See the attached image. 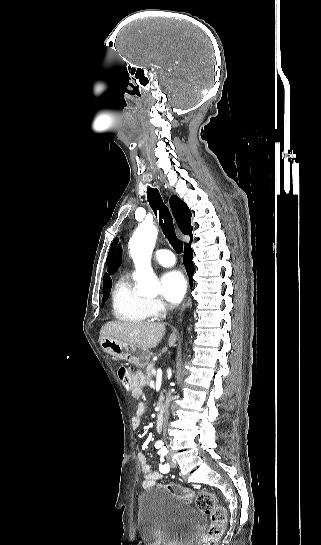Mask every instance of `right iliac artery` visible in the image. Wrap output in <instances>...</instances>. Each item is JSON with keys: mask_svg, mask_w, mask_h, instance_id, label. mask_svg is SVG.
<instances>
[{"mask_svg": "<svg viewBox=\"0 0 321 545\" xmlns=\"http://www.w3.org/2000/svg\"><path fill=\"white\" fill-rule=\"evenodd\" d=\"M161 446H162V444H161V443H159V442H156V444H155V448H156V449L160 448Z\"/></svg>", "mask_w": 321, "mask_h": 545, "instance_id": "obj_1", "label": "right iliac artery"}]
</instances>
